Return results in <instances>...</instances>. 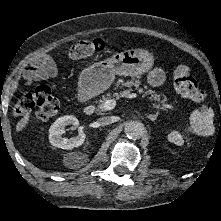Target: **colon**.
Masks as SVG:
<instances>
[{
  "label": "colon",
  "mask_w": 221,
  "mask_h": 221,
  "mask_svg": "<svg viewBox=\"0 0 221 221\" xmlns=\"http://www.w3.org/2000/svg\"><path fill=\"white\" fill-rule=\"evenodd\" d=\"M103 49L104 42L100 39L80 40L70 46L68 56L72 59H83ZM174 86L180 95L195 103H201L206 99V93L198 87L188 65L177 66L174 71ZM35 108V117L38 120H48L57 114L59 101L49 87L37 86L32 92L23 95L15 105L13 114L23 116Z\"/></svg>",
  "instance_id": "obj_1"
}]
</instances>
